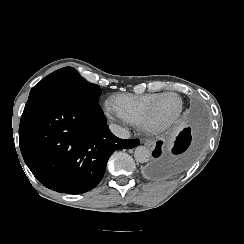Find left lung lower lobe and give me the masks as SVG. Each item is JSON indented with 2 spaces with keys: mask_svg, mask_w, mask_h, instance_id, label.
<instances>
[{
  "mask_svg": "<svg viewBox=\"0 0 244 244\" xmlns=\"http://www.w3.org/2000/svg\"><path fill=\"white\" fill-rule=\"evenodd\" d=\"M191 142V133L190 128H186L180 132V134L176 137L175 145L172 148V154L179 155L186 151ZM153 157L158 158L161 155V145L157 143L155 150L152 153ZM180 166V163L177 159L170 158H158L157 160H153L147 166V172L150 175L157 176L164 174L168 171L174 170Z\"/></svg>",
  "mask_w": 244,
  "mask_h": 244,
  "instance_id": "1",
  "label": "left lung lower lobe"
}]
</instances>
